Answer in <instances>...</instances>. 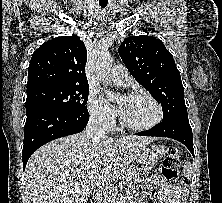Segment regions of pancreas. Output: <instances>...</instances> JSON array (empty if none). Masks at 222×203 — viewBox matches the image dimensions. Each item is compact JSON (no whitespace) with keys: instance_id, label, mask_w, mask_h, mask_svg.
I'll return each mask as SVG.
<instances>
[{"instance_id":"1","label":"pancreas","mask_w":222,"mask_h":203,"mask_svg":"<svg viewBox=\"0 0 222 203\" xmlns=\"http://www.w3.org/2000/svg\"><path fill=\"white\" fill-rule=\"evenodd\" d=\"M124 177L129 178V181L131 183H138L144 180V178L147 176L148 172L143 171L142 169L138 168L135 165L128 166L124 169ZM112 189V188H110ZM116 196V192L114 190H110L108 193L103 194L104 203L110 202L113 197Z\"/></svg>"}]
</instances>
